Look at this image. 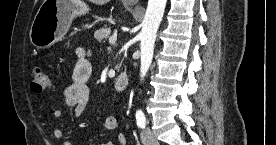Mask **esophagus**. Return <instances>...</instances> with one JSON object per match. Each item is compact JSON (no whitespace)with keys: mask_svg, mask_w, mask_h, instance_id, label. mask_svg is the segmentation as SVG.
Segmentation results:
<instances>
[{"mask_svg":"<svg viewBox=\"0 0 276 145\" xmlns=\"http://www.w3.org/2000/svg\"><path fill=\"white\" fill-rule=\"evenodd\" d=\"M126 3L135 5L138 3V0H125Z\"/></svg>","mask_w":276,"mask_h":145,"instance_id":"obj_1","label":"esophagus"}]
</instances>
